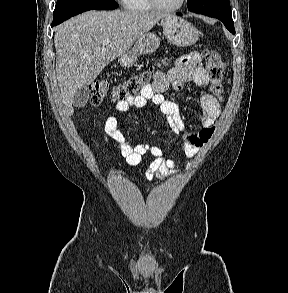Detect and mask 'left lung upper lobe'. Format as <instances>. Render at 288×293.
I'll list each match as a JSON object with an SVG mask.
<instances>
[{
  "label": "left lung upper lobe",
  "mask_w": 288,
  "mask_h": 293,
  "mask_svg": "<svg viewBox=\"0 0 288 293\" xmlns=\"http://www.w3.org/2000/svg\"><path fill=\"white\" fill-rule=\"evenodd\" d=\"M187 7L191 12L233 21L229 0H187Z\"/></svg>",
  "instance_id": "obj_1"
}]
</instances>
